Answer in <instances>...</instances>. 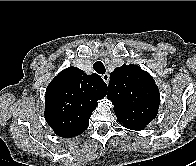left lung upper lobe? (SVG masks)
Listing matches in <instances>:
<instances>
[{"label":"left lung upper lobe","instance_id":"left-lung-upper-lobe-1","mask_svg":"<svg viewBox=\"0 0 196 166\" xmlns=\"http://www.w3.org/2000/svg\"><path fill=\"white\" fill-rule=\"evenodd\" d=\"M107 98L125 128L142 130L157 115L160 96L152 76L137 65H122L110 74Z\"/></svg>","mask_w":196,"mask_h":166}]
</instances>
